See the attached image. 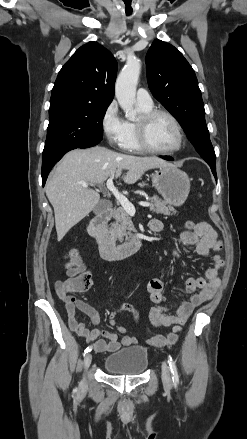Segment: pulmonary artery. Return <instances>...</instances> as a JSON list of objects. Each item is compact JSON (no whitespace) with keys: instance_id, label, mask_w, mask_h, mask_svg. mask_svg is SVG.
<instances>
[{"instance_id":"e3ab8cb5","label":"pulmonary artery","mask_w":247,"mask_h":439,"mask_svg":"<svg viewBox=\"0 0 247 439\" xmlns=\"http://www.w3.org/2000/svg\"><path fill=\"white\" fill-rule=\"evenodd\" d=\"M136 100L138 104L144 106H151L153 104L152 98L149 92L144 88H139L136 94Z\"/></svg>"}]
</instances>
